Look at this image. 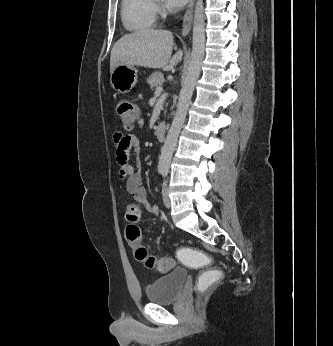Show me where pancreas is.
<instances>
[{
    "instance_id": "pancreas-1",
    "label": "pancreas",
    "mask_w": 333,
    "mask_h": 346,
    "mask_svg": "<svg viewBox=\"0 0 333 346\" xmlns=\"http://www.w3.org/2000/svg\"><path fill=\"white\" fill-rule=\"evenodd\" d=\"M164 82V76L161 72H153L149 78L147 79V83L149 84L150 88H157L162 85Z\"/></svg>"
}]
</instances>
